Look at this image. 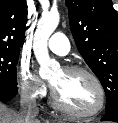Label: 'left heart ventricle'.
Here are the masks:
<instances>
[{
    "mask_svg": "<svg viewBox=\"0 0 118 123\" xmlns=\"http://www.w3.org/2000/svg\"><path fill=\"white\" fill-rule=\"evenodd\" d=\"M62 102L76 111L92 110L98 102V92L85 74L56 72L50 79Z\"/></svg>",
    "mask_w": 118,
    "mask_h": 123,
    "instance_id": "1",
    "label": "left heart ventricle"
}]
</instances>
